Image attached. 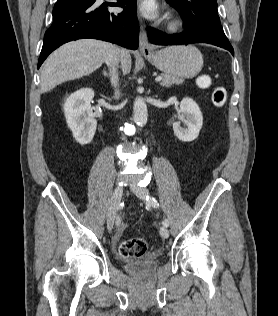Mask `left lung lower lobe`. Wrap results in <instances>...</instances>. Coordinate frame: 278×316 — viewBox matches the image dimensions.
<instances>
[{
    "label": "left lung lower lobe",
    "instance_id": "0a47b994",
    "mask_svg": "<svg viewBox=\"0 0 278 316\" xmlns=\"http://www.w3.org/2000/svg\"><path fill=\"white\" fill-rule=\"evenodd\" d=\"M148 39L151 43L157 45H178L190 43H208L224 48L234 55V50L228 39H221L206 33L186 30L180 34L168 35L158 30L149 28Z\"/></svg>",
    "mask_w": 278,
    "mask_h": 316
}]
</instances>
